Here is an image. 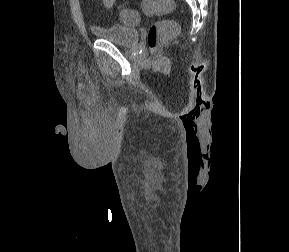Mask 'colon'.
I'll use <instances>...</instances> for the list:
<instances>
[{"instance_id":"1","label":"colon","mask_w":289,"mask_h":252,"mask_svg":"<svg viewBox=\"0 0 289 252\" xmlns=\"http://www.w3.org/2000/svg\"><path fill=\"white\" fill-rule=\"evenodd\" d=\"M173 0H143L142 10L147 15H164L173 10ZM119 16L122 22L128 25L137 24L140 21L139 14L125 5L120 6ZM178 24L175 20L164 19L153 23L147 33V44L154 52L161 44L176 36Z\"/></svg>"}]
</instances>
